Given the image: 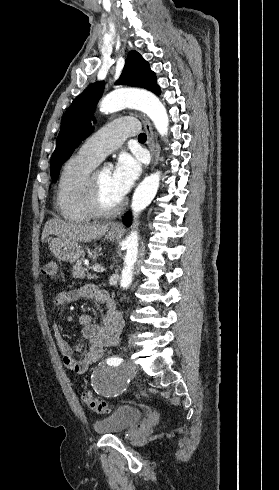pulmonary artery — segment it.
<instances>
[{
    "label": "pulmonary artery",
    "mask_w": 279,
    "mask_h": 490,
    "mask_svg": "<svg viewBox=\"0 0 279 490\" xmlns=\"http://www.w3.org/2000/svg\"><path fill=\"white\" fill-rule=\"evenodd\" d=\"M140 128V123L133 117H116L114 122L92 133L81 145L79 153L99 163L121 146L127 136L135 134Z\"/></svg>",
    "instance_id": "1"
}]
</instances>
